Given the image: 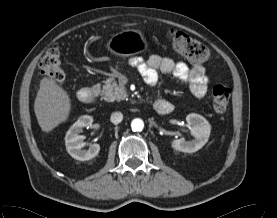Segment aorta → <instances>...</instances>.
<instances>
[{"instance_id":"1","label":"aorta","mask_w":277,"mask_h":218,"mask_svg":"<svg viewBox=\"0 0 277 218\" xmlns=\"http://www.w3.org/2000/svg\"><path fill=\"white\" fill-rule=\"evenodd\" d=\"M131 128L134 132H140L144 128V122L141 119L136 118L131 122Z\"/></svg>"}]
</instances>
